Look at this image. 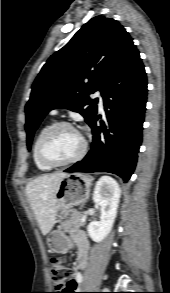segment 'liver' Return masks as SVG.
Segmentation results:
<instances>
[{"instance_id": "obj_1", "label": "liver", "mask_w": 170, "mask_h": 293, "mask_svg": "<svg viewBox=\"0 0 170 293\" xmlns=\"http://www.w3.org/2000/svg\"><path fill=\"white\" fill-rule=\"evenodd\" d=\"M65 172L42 175L26 185V195L43 235L48 234L56 221V190Z\"/></svg>"}]
</instances>
